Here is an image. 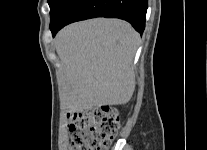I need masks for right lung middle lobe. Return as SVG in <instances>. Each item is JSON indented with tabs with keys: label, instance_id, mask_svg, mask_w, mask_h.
Masks as SVG:
<instances>
[{
	"label": "right lung middle lobe",
	"instance_id": "1",
	"mask_svg": "<svg viewBox=\"0 0 207 150\" xmlns=\"http://www.w3.org/2000/svg\"><path fill=\"white\" fill-rule=\"evenodd\" d=\"M68 0H48L50 6L51 21L57 16L59 11L65 6Z\"/></svg>",
	"mask_w": 207,
	"mask_h": 150
}]
</instances>
